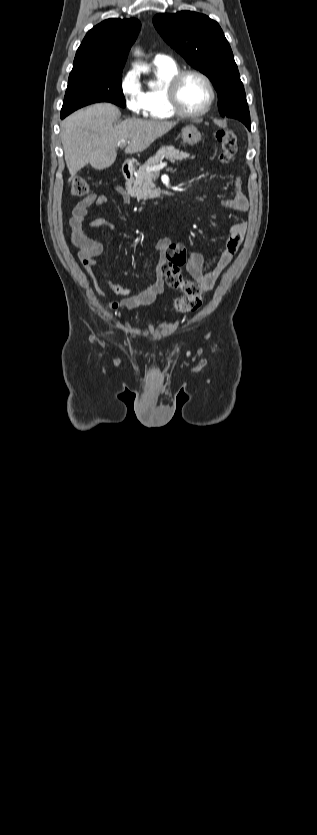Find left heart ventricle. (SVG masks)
Masks as SVG:
<instances>
[{
	"label": "left heart ventricle",
	"mask_w": 317,
	"mask_h": 835,
	"mask_svg": "<svg viewBox=\"0 0 317 835\" xmlns=\"http://www.w3.org/2000/svg\"><path fill=\"white\" fill-rule=\"evenodd\" d=\"M182 107L190 113L201 111L209 100V90L205 82L196 75L187 76L180 88Z\"/></svg>",
	"instance_id": "left-heart-ventricle-1"
}]
</instances>
